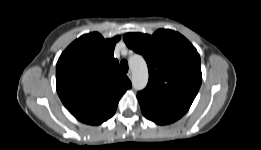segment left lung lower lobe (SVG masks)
I'll return each mask as SVG.
<instances>
[{"mask_svg":"<svg viewBox=\"0 0 261 150\" xmlns=\"http://www.w3.org/2000/svg\"><path fill=\"white\" fill-rule=\"evenodd\" d=\"M138 101L140 103L143 115L147 119L160 125L172 123L184 115L183 113L147 102L140 98H138Z\"/></svg>","mask_w":261,"mask_h":150,"instance_id":"1","label":"left lung lower lobe"}]
</instances>
